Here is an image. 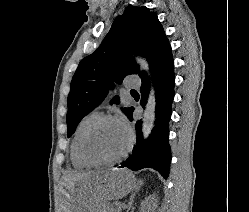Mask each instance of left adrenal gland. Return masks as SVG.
I'll return each mask as SVG.
<instances>
[{
  "mask_svg": "<svg viewBox=\"0 0 249 212\" xmlns=\"http://www.w3.org/2000/svg\"><path fill=\"white\" fill-rule=\"evenodd\" d=\"M142 184H143L142 180H139V182L137 184V188H136V194H138ZM131 208H133L132 196H130V202H128V204H127V206L125 208L126 212H130Z\"/></svg>",
  "mask_w": 249,
  "mask_h": 212,
  "instance_id": "obj_1",
  "label": "left adrenal gland"
}]
</instances>
